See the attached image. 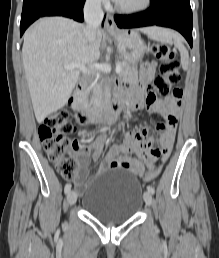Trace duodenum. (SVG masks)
Listing matches in <instances>:
<instances>
[{
  "label": "duodenum",
  "mask_w": 219,
  "mask_h": 258,
  "mask_svg": "<svg viewBox=\"0 0 219 258\" xmlns=\"http://www.w3.org/2000/svg\"><path fill=\"white\" fill-rule=\"evenodd\" d=\"M86 85L77 87L69 104L74 108L79 123L107 124L115 121L121 114L123 101L118 98L113 102H102L99 106L88 107L84 104Z\"/></svg>",
  "instance_id": "1"
}]
</instances>
